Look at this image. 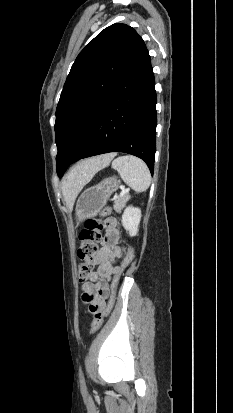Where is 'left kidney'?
Listing matches in <instances>:
<instances>
[{
  "label": "left kidney",
  "instance_id": "1",
  "mask_svg": "<svg viewBox=\"0 0 233 413\" xmlns=\"http://www.w3.org/2000/svg\"><path fill=\"white\" fill-rule=\"evenodd\" d=\"M141 220V210L139 208L128 206L122 215V225L130 236L137 235L138 226Z\"/></svg>",
  "mask_w": 233,
  "mask_h": 413
}]
</instances>
